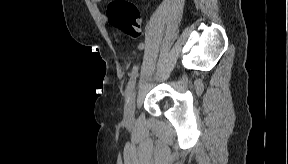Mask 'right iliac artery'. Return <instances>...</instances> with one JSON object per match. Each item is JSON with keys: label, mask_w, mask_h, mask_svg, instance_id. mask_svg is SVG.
Instances as JSON below:
<instances>
[{"label": "right iliac artery", "mask_w": 288, "mask_h": 164, "mask_svg": "<svg viewBox=\"0 0 288 164\" xmlns=\"http://www.w3.org/2000/svg\"><path fill=\"white\" fill-rule=\"evenodd\" d=\"M143 48H144V44L140 43L138 45V49L142 50ZM137 76H138V66H134L133 70H132V74H131L130 80H129V83L127 85V89L125 91V101L126 102H128V100L130 98V95H131V93L133 91Z\"/></svg>", "instance_id": "obj_1"}]
</instances>
